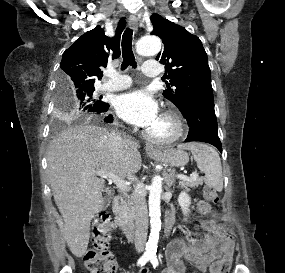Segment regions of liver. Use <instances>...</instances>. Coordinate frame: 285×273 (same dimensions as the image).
<instances>
[{"label": "liver", "instance_id": "1", "mask_svg": "<svg viewBox=\"0 0 285 273\" xmlns=\"http://www.w3.org/2000/svg\"><path fill=\"white\" fill-rule=\"evenodd\" d=\"M137 148L136 142L124 139L119 157L110 144V132L86 124L67 128L49 145V181L64 220V238L76 257L86 253L90 222L103 209L105 181L97 176V171L119 177L137 173L142 162Z\"/></svg>", "mask_w": 285, "mask_h": 273}]
</instances>
